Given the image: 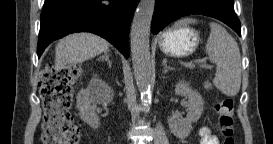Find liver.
Segmentation results:
<instances>
[{
  "label": "liver",
  "mask_w": 273,
  "mask_h": 144,
  "mask_svg": "<svg viewBox=\"0 0 273 144\" xmlns=\"http://www.w3.org/2000/svg\"><path fill=\"white\" fill-rule=\"evenodd\" d=\"M109 48V42L92 33H74L61 39L55 47V70L66 65L82 63Z\"/></svg>",
  "instance_id": "liver-1"
}]
</instances>
